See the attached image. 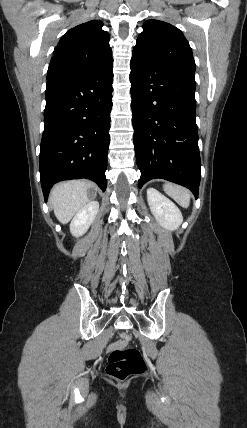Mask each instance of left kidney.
Segmentation results:
<instances>
[{"label":"left kidney","instance_id":"1","mask_svg":"<svg viewBox=\"0 0 247 428\" xmlns=\"http://www.w3.org/2000/svg\"><path fill=\"white\" fill-rule=\"evenodd\" d=\"M147 200L150 210L162 227L176 230L183 221L178 207L154 188L147 189Z\"/></svg>","mask_w":247,"mask_h":428}]
</instances>
